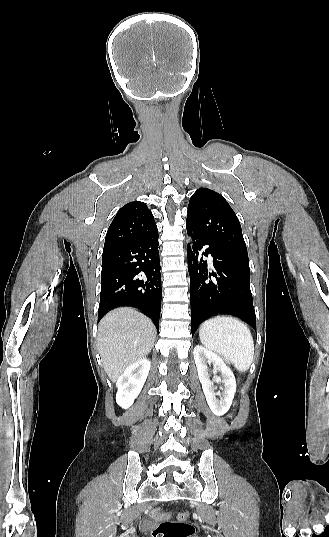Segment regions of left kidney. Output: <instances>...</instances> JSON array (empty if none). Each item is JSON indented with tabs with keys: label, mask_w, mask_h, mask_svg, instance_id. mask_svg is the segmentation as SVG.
I'll use <instances>...</instances> for the list:
<instances>
[{
	"label": "left kidney",
	"mask_w": 329,
	"mask_h": 537,
	"mask_svg": "<svg viewBox=\"0 0 329 537\" xmlns=\"http://www.w3.org/2000/svg\"><path fill=\"white\" fill-rule=\"evenodd\" d=\"M193 354L208 406L215 415L222 416L229 410L236 392L235 376L219 355L203 346L196 345ZM206 362L212 363L214 370L221 372L222 378L215 376L217 383H223V387H220L222 391L220 399L216 398L215 387L210 380Z\"/></svg>",
	"instance_id": "left-kidney-1"
}]
</instances>
